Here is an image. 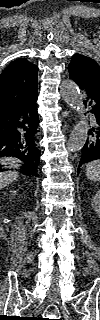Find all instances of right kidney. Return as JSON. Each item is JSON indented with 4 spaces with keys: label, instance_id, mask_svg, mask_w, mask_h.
<instances>
[{
    "label": "right kidney",
    "instance_id": "ca27d5eb",
    "mask_svg": "<svg viewBox=\"0 0 100 320\" xmlns=\"http://www.w3.org/2000/svg\"><path fill=\"white\" fill-rule=\"evenodd\" d=\"M11 194L12 195H16V191H11Z\"/></svg>",
    "mask_w": 100,
    "mask_h": 320
}]
</instances>
